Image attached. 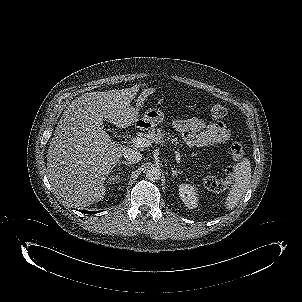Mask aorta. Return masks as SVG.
I'll use <instances>...</instances> for the list:
<instances>
[{"label": "aorta", "mask_w": 302, "mask_h": 302, "mask_svg": "<svg viewBox=\"0 0 302 302\" xmlns=\"http://www.w3.org/2000/svg\"><path fill=\"white\" fill-rule=\"evenodd\" d=\"M160 176H161V171L156 166H150L146 170V177L148 180L156 181V180L160 179Z\"/></svg>", "instance_id": "obj_1"}]
</instances>
